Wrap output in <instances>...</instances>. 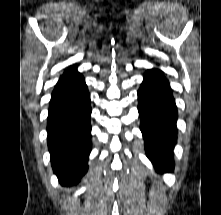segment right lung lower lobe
I'll list each match as a JSON object with an SVG mask.
<instances>
[{"instance_id":"obj_1","label":"right lung lower lobe","mask_w":221,"mask_h":215,"mask_svg":"<svg viewBox=\"0 0 221 215\" xmlns=\"http://www.w3.org/2000/svg\"><path fill=\"white\" fill-rule=\"evenodd\" d=\"M47 119L51 165L62 186L78 183L91 151L90 95L76 72L56 84Z\"/></svg>"}]
</instances>
